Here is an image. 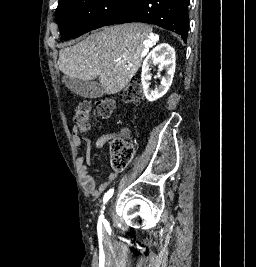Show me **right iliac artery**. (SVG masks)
Wrapping results in <instances>:
<instances>
[{
    "instance_id": "82829eb1",
    "label": "right iliac artery",
    "mask_w": 256,
    "mask_h": 267,
    "mask_svg": "<svg viewBox=\"0 0 256 267\" xmlns=\"http://www.w3.org/2000/svg\"><path fill=\"white\" fill-rule=\"evenodd\" d=\"M113 193H114V189H110L107 193H105L104 198H103L104 205L112 197ZM104 209H105V206H103V210ZM102 221H104L103 211H101V215L99 216V222H102Z\"/></svg>"
}]
</instances>
